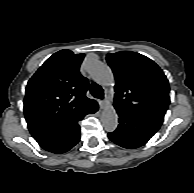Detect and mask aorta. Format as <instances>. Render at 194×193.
Listing matches in <instances>:
<instances>
[{
    "label": "aorta",
    "mask_w": 194,
    "mask_h": 193,
    "mask_svg": "<svg viewBox=\"0 0 194 193\" xmlns=\"http://www.w3.org/2000/svg\"><path fill=\"white\" fill-rule=\"evenodd\" d=\"M88 73L94 81L101 85L110 86L114 83L111 69L99 61L88 63ZM101 122L107 132H113L117 128L118 117L112 106H108L102 111Z\"/></svg>",
    "instance_id": "obj_1"
}]
</instances>
